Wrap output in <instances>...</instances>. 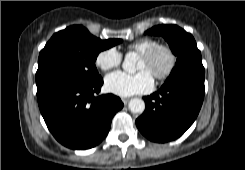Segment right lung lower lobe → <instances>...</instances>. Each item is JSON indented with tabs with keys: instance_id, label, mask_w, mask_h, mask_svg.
<instances>
[{
	"instance_id": "98d812e1",
	"label": "right lung lower lobe",
	"mask_w": 245,
	"mask_h": 170,
	"mask_svg": "<svg viewBox=\"0 0 245 170\" xmlns=\"http://www.w3.org/2000/svg\"><path fill=\"white\" fill-rule=\"evenodd\" d=\"M102 78L81 86H63L37 97L45 123L62 145L90 149L107 135L123 103L113 94L100 95Z\"/></svg>"
}]
</instances>
